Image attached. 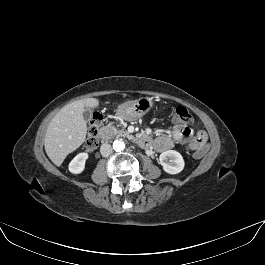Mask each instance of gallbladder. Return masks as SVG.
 I'll use <instances>...</instances> for the list:
<instances>
[{
    "label": "gallbladder",
    "mask_w": 265,
    "mask_h": 265,
    "mask_svg": "<svg viewBox=\"0 0 265 265\" xmlns=\"http://www.w3.org/2000/svg\"><path fill=\"white\" fill-rule=\"evenodd\" d=\"M91 117H92V112L89 108H85L84 112H83V118L86 120V121H90L91 120Z\"/></svg>",
    "instance_id": "1"
}]
</instances>
